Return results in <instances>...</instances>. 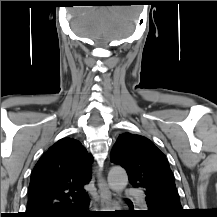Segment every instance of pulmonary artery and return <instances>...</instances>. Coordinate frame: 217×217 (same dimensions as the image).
<instances>
[{
    "mask_svg": "<svg viewBox=\"0 0 217 217\" xmlns=\"http://www.w3.org/2000/svg\"><path fill=\"white\" fill-rule=\"evenodd\" d=\"M125 195L127 197H134V198H137L140 200L141 203H145V200L143 198V194L136 190V189H133V188H126L125 189Z\"/></svg>",
    "mask_w": 217,
    "mask_h": 217,
    "instance_id": "1",
    "label": "pulmonary artery"
}]
</instances>
